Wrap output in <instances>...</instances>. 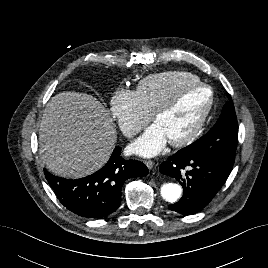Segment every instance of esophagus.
Returning <instances> with one entry per match:
<instances>
[{
    "mask_svg": "<svg viewBox=\"0 0 268 268\" xmlns=\"http://www.w3.org/2000/svg\"><path fill=\"white\" fill-rule=\"evenodd\" d=\"M145 165L147 166V168L149 170L153 169L154 168V162L152 160H145Z\"/></svg>",
    "mask_w": 268,
    "mask_h": 268,
    "instance_id": "esophagus-1",
    "label": "esophagus"
}]
</instances>
